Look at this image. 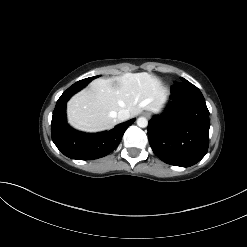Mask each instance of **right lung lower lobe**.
<instances>
[{
	"mask_svg": "<svg viewBox=\"0 0 247 247\" xmlns=\"http://www.w3.org/2000/svg\"><path fill=\"white\" fill-rule=\"evenodd\" d=\"M88 84V83H87ZM87 84L76 82L58 99L51 122L54 144L67 157L77 160H93L111 153L120 143L126 129L135 119L117 125L106 132L87 134L72 129L66 122V102Z\"/></svg>",
	"mask_w": 247,
	"mask_h": 247,
	"instance_id": "1",
	"label": "right lung lower lobe"
}]
</instances>
